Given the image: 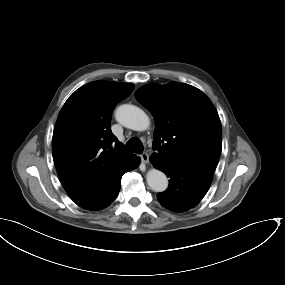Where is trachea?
<instances>
[{"label":"trachea","instance_id":"trachea-1","mask_svg":"<svg viewBox=\"0 0 285 285\" xmlns=\"http://www.w3.org/2000/svg\"><path fill=\"white\" fill-rule=\"evenodd\" d=\"M125 150L127 152H135L137 154H141L143 151V144L137 138H131L125 146Z\"/></svg>","mask_w":285,"mask_h":285}]
</instances>
